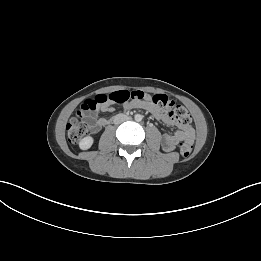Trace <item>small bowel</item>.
<instances>
[{"mask_svg":"<svg viewBox=\"0 0 261 261\" xmlns=\"http://www.w3.org/2000/svg\"><path fill=\"white\" fill-rule=\"evenodd\" d=\"M131 107H137L149 111L159 120H162L166 125L172 126L174 122L171 120L167 113H161L157 108L149 103L144 102L138 105H131ZM111 107L104 106L101 108L102 111H111ZM90 129L93 133L98 132L103 126L108 124L109 119L106 117H97L91 115L90 117ZM194 129L191 126L185 125L179 127V129L174 134H165L162 137V148L166 152L173 151L176 146L183 140L193 139Z\"/></svg>","mask_w":261,"mask_h":261,"instance_id":"c3829d8e","label":"small bowel"}]
</instances>
